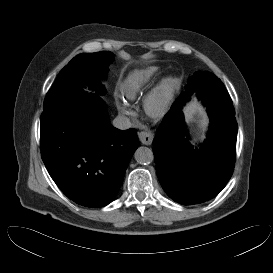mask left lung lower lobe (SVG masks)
<instances>
[{"mask_svg": "<svg viewBox=\"0 0 273 273\" xmlns=\"http://www.w3.org/2000/svg\"><path fill=\"white\" fill-rule=\"evenodd\" d=\"M193 93L206 105L211 122L207 139L199 150H193L185 138L182 114V107ZM236 140L232 100L221 80L208 73L194 92L180 94L153 140L156 172L166 194L182 205L214 198L233 174Z\"/></svg>", "mask_w": 273, "mask_h": 273, "instance_id": "1", "label": "left lung lower lobe"}]
</instances>
